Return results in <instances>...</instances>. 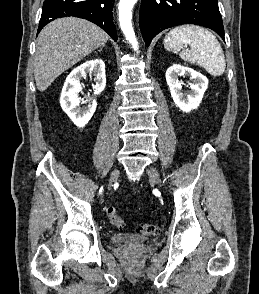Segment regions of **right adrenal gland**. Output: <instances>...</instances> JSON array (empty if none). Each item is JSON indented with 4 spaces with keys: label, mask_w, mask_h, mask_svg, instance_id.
<instances>
[{
    "label": "right adrenal gland",
    "mask_w": 259,
    "mask_h": 294,
    "mask_svg": "<svg viewBox=\"0 0 259 294\" xmlns=\"http://www.w3.org/2000/svg\"><path fill=\"white\" fill-rule=\"evenodd\" d=\"M103 47H104V46H102V48H103ZM102 48H100L98 51L101 52V51H102Z\"/></svg>",
    "instance_id": "right-adrenal-gland-1"
}]
</instances>
